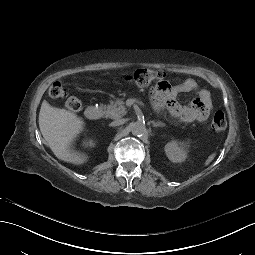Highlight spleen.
<instances>
[{
  "mask_svg": "<svg viewBox=\"0 0 255 255\" xmlns=\"http://www.w3.org/2000/svg\"><path fill=\"white\" fill-rule=\"evenodd\" d=\"M215 157H216V153H215V152L212 153V154H210V155L208 156V158L205 160L204 166H205V167L208 166V165L214 160Z\"/></svg>",
  "mask_w": 255,
  "mask_h": 255,
  "instance_id": "obj_1",
  "label": "spleen"
}]
</instances>
